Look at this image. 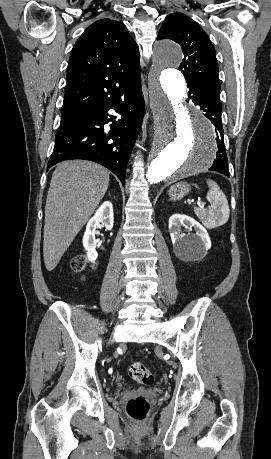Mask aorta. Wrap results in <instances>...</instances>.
I'll use <instances>...</instances> for the list:
<instances>
[{"mask_svg": "<svg viewBox=\"0 0 271 459\" xmlns=\"http://www.w3.org/2000/svg\"><path fill=\"white\" fill-rule=\"evenodd\" d=\"M183 57L172 41L155 46L149 78L155 131L146 179L173 182L208 170L216 157V135L198 109L185 105L186 82L177 66Z\"/></svg>", "mask_w": 271, "mask_h": 459, "instance_id": "obj_1", "label": "aorta"}]
</instances>
